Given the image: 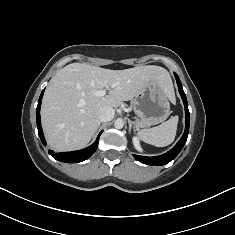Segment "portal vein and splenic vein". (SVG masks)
I'll return each instance as SVG.
<instances>
[{
  "instance_id": "portal-vein-and-splenic-vein-1",
  "label": "portal vein and splenic vein",
  "mask_w": 235,
  "mask_h": 235,
  "mask_svg": "<svg viewBox=\"0 0 235 235\" xmlns=\"http://www.w3.org/2000/svg\"><path fill=\"white\" fill-rule=\"evenodd\" d=\"M109 87H107L106 89H102V90H98V91H96V95L97 96H104L105 94H106V90L108 89Z\"/></svg>"
}]
</instances>
